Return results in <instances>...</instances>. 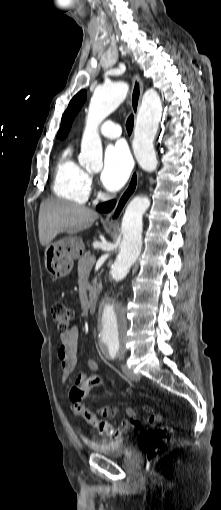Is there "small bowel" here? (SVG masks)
I'll return each mask as SVG.
<instances>
[{"label":"small bowel","instance_id":"small-bowel-1","mask_svg":"<svg viewBox=\"0 0 221 510\" xmlns=\"http://www.w3.org/2000/svg\"><path fill=\"white\" fill-rule=\"evenodd\" d=\"M78 338H79V329L77 327H72L69 331L61 335V344L57 350V357L59 360L60 367V375L61 380L65 382L68 377L73 372L76 361H77V352H78ZM87 367L92 372L98 371V364L96 360L92 357H89L86 361ZM91 377H88L85 373H81L73 384L70 391V401H71V411L76 416H84L85 406L81 403L84 398L80 392L85 391L86 394L92 389L89 385V380ZM117 411L116 408H114ZM147 411H151L150 407H145ZM126 413L129 417H136V412L133 408L128 407L126 409ZM132 428V424L128 422H124L120 427H113L109 422H105L104 429L100 430V432L106 434L110 439H118L125 433H127Z\"/></svg>","mask_w":221,"mask_h":510}]
</instances>
